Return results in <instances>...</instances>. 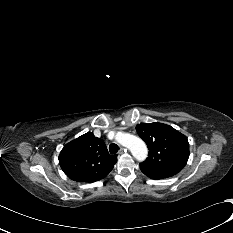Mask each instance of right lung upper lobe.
Returning a JSON list of instances; mask_svg holds the SVG:
<instances>
[{"label":"right lung upper lobe","mask_w":233,"mask_h":233,"mask_svg":"<svg viewBox=\"0 0 233 233\" xmlns=\"http://www.w3.org/2000/svg\"><path fill=\"white\" fill-rule=\"evenodd\" d=\"M116 162L117 155H110L103 140L92 132L67 143L59 155L62 170L77 182L91 183L103 179Z\"/></svg>","instance_id":"obj_1"}]
</instances>
